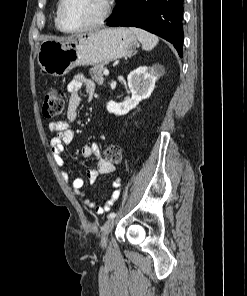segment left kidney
Masks as SVG:
<instances>
[{"mask_svg":"<svg viewBox=\"0 0 247 296\" xmlns=\"http://www.w3.org/2000/svg\"><path fill=\"white\" fill-rule=\"evenodd\" d=\"M156 78L157 76L153 70L146 66H141L132 71L127 77L128 86L132 93L131 98L119 104L114 101H109L106 106L108 112L118 116L127 114L130 110L134 109L139 102L151 96L155 88Z\"/></svg>","mask_w":247,"mask_h":296,"instance_id":"1","label":"left kidney"}]
</instances>
